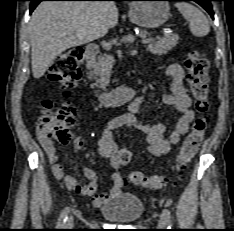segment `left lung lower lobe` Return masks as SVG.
<instances>
[{"label": "left lung lower lobe", "mask_w": 234, "mask_h": 231, "mask_svg": "<svg viewBox=\"0 0 234 231\" xmlns=\"http://www.w3.org/2000/svg\"><path fill=\"white\" fill-rule=\"evenodd\" d=\"M127 1H133V0H127ZM168 1H195L196 3L200 4L211 15L212 18H214L211 1L215 0H168Z\"/></svg>", "instance_id": "0a47b994"}]
</instances>
